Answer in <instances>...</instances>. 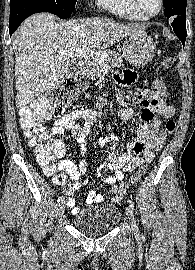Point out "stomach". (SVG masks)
<instances>
[{
	"instance_id": "0dacf381",
	"label": "stomach",
	"mask_w": 195,
	"mask_h": 270,
	"mask_svg": "<svg viewBox=\"0 0 195 270\" xmlns=\"http://www.w3.org/2000/svg\"><path fill=\"white\" fill-rule=\"evenodd\" d=\"M155 52L156 42L144 31L127 36L123 43L124 57L135 67L146 65L154 57Z\"/></svg>"
}]
</instances>
